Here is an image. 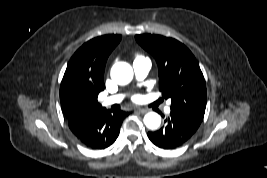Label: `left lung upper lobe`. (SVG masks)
<instances>
[{
  "label": "left lung upper lobe",
  "mask_w": 267,
  "mask_h": 178,
  "mask_svg": "<svg viewBox=\"0 0 267 178\" xmlns=\"http://www.w3.org/2000/svg\"><path fill=\"white\" fill-rule=\"evenodd\" d=\"M136 41L156 59L159 90L170 98L171 113L198 128L206 108V84L198 61L181 42L161 35H136Z\"/></svg>",
  "instance_id": "1"
}]
</instances>
